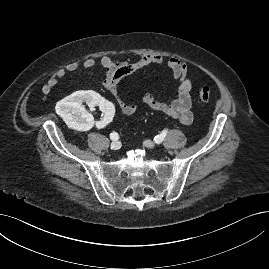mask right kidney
Listing matches in <instances>:
<instances>
[{"instance_id":"1","label":"right kidney","mask_w":269,"mask_h":269,"mask_svg":"<svg viewBox=\"0 0 269 269\" xmlns=\"http://www.w3.org/2000/svg\"><path fill=\"white\" fill-rule=\"evenodd\" d=\"M83 102L89 107L98 106L103 114L93 119V116L86 112ZM56 112L65 123L77 130H103L111 124L114 117L115 107L110 100H104L99 94L93 91H77L59 101L56 105Z\"/></svg>"}]
</instances>
